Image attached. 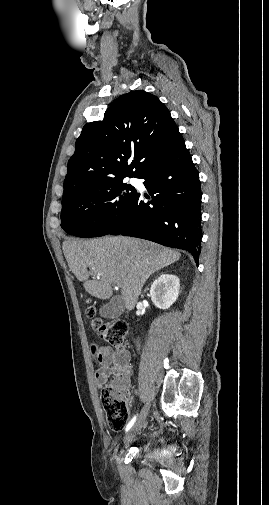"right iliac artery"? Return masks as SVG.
<instances>
[{
    "mask_svg": "<svg viewBox=\"0 0 269 505\" xmlns=\"http://www.w3.org/2000/svg\"><path fill=\"white\" fill-rule=\"evenodd\" d=\"M137 415H135L131 421L127 424L125 431H129L136 421Z\"/></svg>",
    "mask_w": 269,
    "mask_h": 505,
    "instance_id": "obj_1",
    "label": "right iliac artery"
}]
</instances>
